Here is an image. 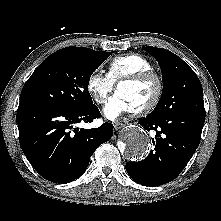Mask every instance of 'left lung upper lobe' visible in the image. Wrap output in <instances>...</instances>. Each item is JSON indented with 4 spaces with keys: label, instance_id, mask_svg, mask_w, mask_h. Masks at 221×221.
<instances>
[{
    "label": "left lung upper lobe",
    "instance_id": "5c2ea615",
    "mask_svg": "<svg viewBox=\"0 0 221 221\" xmlns=\"http://www.w3.org/2000/svg\"><path fill=\"white\" fill-rule=\"evenodd\" d=\"M143 49L158 61L163 76L161 99L149 116L182 111L205 116L202 85L190 66L166 49L151 46Z\"/></svg>",
    "mask_w": 221,
    "mask_h": 221
}]
</instances>
